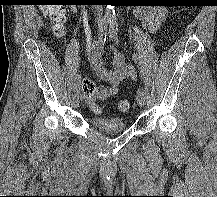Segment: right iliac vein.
<instances>
[{
	"label": "right iliac vein",
	"mask_w": 217,
	"mask_h": 197,
	"mask_svg": "<svg viewBox=\"0 0 217 197\" xmlns=\"http://www.w3.org/2000/svg\"><path fill=\"white\" fill-rule=\"evenodd\" d=\"M79 106V96L73 97V107L77 108Z\"/></svg>",
	"instance_id": "1"
}]
</instances>
